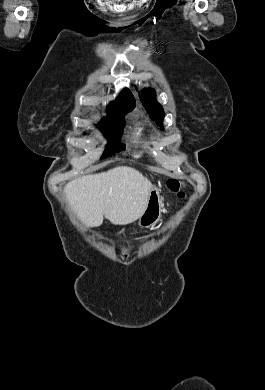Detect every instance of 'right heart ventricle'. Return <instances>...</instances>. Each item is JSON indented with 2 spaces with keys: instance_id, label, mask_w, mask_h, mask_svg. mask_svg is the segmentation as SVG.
Masks as SVG:
<instances>
[{
  "instance_id": "right-heart-ventricle-1",
  "label": "right heart ventricle",
  "mask_w": 265,
  "mask_h": 390,
  "mask_svg": "<svg viewBox=\"0 0 265 390\" xmlns=\"http://www.w3.org/2000/svg\"><path fill=\"white\" fill-rule=\"evenodd\" d=\"M142 136H143L142 130H137V131L135 132V134H134V139H135V140H138V139H140Z\"/></svg>"
}]
</instances>
